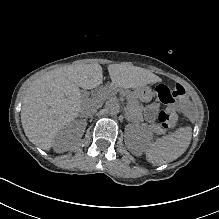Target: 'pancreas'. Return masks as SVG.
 I'll use <instances>...</instances> for the list:
<instances>
[{"mask_svg": "<svg viewBox=\"0 0 219 219\" xmlns=\"http://www.w3.org/2000/svg\"><path fill=\"white\" fill-rule=\"evenodd\" d=\"M103 93L105 96L110 97L113 94L123 100L127 99V116L129 120H134L135 122H140L143 119V114L141 112L140 105L142 104V99L136 96V93L132 89H123L120 86L115 87L112 84L107 85ZM148 129L152 132L160 133L162 128L159 125H149Z\"/></svg>", "mask_w": 219, "mask_h": 219, "instance_id": "cf45deb5", "label": "pancreas"}]
</instances>
